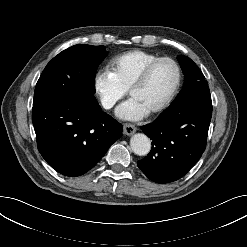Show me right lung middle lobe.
I'll return each mask as SVG.
<instances>
[{
  "instance_id": "right-lung-middle-lobe-1",
  "label": "right lung middle lobe",
  "mask_w": 247,
  "mask_h": 247,
  "mask_svg": "<svg viewBox=\"0 0 247 247\" xmlns=\"http://www.w3.org/2000/svg\"><path fill=\"white\" fill-rule=\"evenodd\" d=\"M107 55L104 46L74 45L55 56L43 70L33 106L62 95L76 104L96 107L95 75Z\"/></svg>"
}]
</instances>
